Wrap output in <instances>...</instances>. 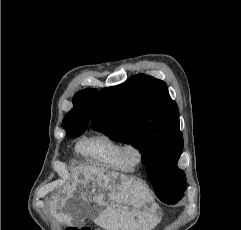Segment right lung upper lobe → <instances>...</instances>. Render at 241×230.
<instances>
[{"mask_svg":"<svg viewBox=\"0 0 241 230\" xmlns=\"http://www.w3.org/2000/svg\"><path fill=\"white\" fill-rule=\"evenodd\" d=\"M96 94L97 89L88 88L74 95V107L65 115L62 122L65 131L87 128Z\"/></svg>","mask_w":241,"mask_h":230,"instance_id":"obj_1","label":"right lung upper lobe"}]
</instances>
